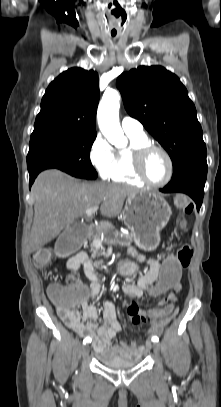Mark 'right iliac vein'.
I'll return each mask as SVG.
<instances>
[{"label":"right iliac vein","mask_w":221,"mask_h":407,"mask_svg":"<svg viewBox=\"0 0 221 407\" xmlns=\"http://www.w3.org/2000/svg\"><path fill=\"white\" fill-rule=\"evenodd\" d=\"M82 356H83V358H86L87 356H88V354H89V345L88 344H85L83 347H82Z\"/></svg>","instance_id":"right-iliac-vein-1"}]
</instances>
